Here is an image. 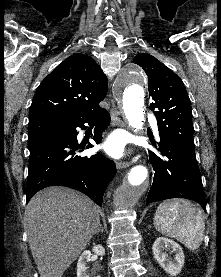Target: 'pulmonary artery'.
Wrapping results in <instances>:
<instances>
[{
  "label": "pulmonary artery",
  "mask_w": 221,
  "mask_h": 277,
  "mask_svg": "<svg viewBox=\"0 0 221 277\" xmlns=\"http://www.w3.org/2000/svg\"><path fill=\"white\" fill-rule=\"evenodd\" d=\"M154 122V129H155V131L156 132H158V127H157V124H156V122L155 121H153Z\"/></svg>",
  "instance_id": "1"
}]
</instances>
